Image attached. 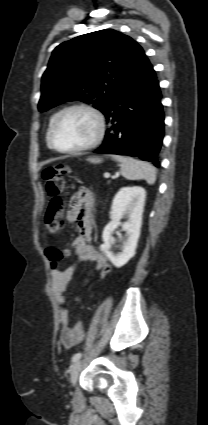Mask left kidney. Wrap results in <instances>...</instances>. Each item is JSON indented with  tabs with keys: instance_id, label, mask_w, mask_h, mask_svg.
I'll list each match as a JSON object with an SVG mask.
<instances>
[{
	"instance_id": "left-kidney-1",
	"label": "left kidney",
	"mask_w": 208,
	"mask_h": 425,
	"mask_svg": "<svg viewBox=\"0 0 208 425\" xmlns=\"http://www.w3.org/2000/svg\"><path fill=\"white\" fill-rule=\"evenodd\" d=\"M145 198L146 191L139 186L123 187L114 196L110 211L111 221L103 230V244L100 249L117 268L124 266L135 255L142 225ZM122 218H127V221L121 223ZM120 225L126 231L127 238L123 243L122 252L114 254L111 251V235Z\"/></svg>"
}]
</instances>
